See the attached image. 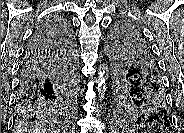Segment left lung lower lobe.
<instances>
[{"label":"left lung lower lobe","instance_id":"0a47b994","mask_svg":"<svg viewBox=\"0 0 184 133\" xmlns=\"http://www.w3.org/2000/svg\"><path fill=\"white\" fill-rule=\"evenodd\" d=\"M152 93L141 89V93L147 97H151L152 105L154 106L157 113L154 111L151 113V116L148 117L146 122H154L164 125L165 127H170L171 118L169 110H167V100L166 94L164 91V86L162 81H158L156 85L151 86ZM128 117V116H125ZM129 118V117H128ZM132 120L131 118H129Z\"/></svg>","mask_w":184,"mask_h":133}]
</instances>
